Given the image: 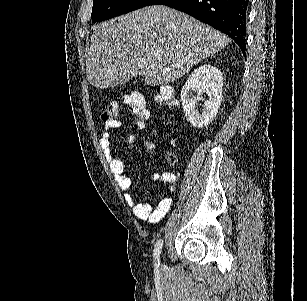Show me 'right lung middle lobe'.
<instances>
[{"label":"right lung middle lobe","instance_id":"dd1d6c3e","mask_svg":"<svg viewBox=\"0 0 307 301\" xmlns=\"http://www.w3.org/2000/svg\"><path fill=\"white\" fill-rule=\"evenodd\" d=\"M150 0H94L92 8V22L128 13L130 11L146 6Z\"/></svg>","mask_w":307,"mask_h":301}]
</instances>
